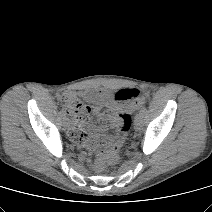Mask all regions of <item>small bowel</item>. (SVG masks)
<instances>
[{"label":"small bowel","mask_w":212,"mask_h":212,"mask_svg":"<svg viewBox=\"0 0 212 212\" xmlns=\"http://www.w3.org/2000/svg\"><path fill=\"white\" fill-rule=\"evenodd\" d=\"M67 96L74 95L68 94ZM78 96L90 103L91 107H88L89 110L86 115L74 118V125L69 132L70 136L81 145H86L93 150H100L105 141L102 133L107 130V124L116 120L122 107L113 101L105 91H82L78 93ZM91 113L96 115L104 124L96 126L90 123Z\"/></svg>","instance_id":"1"}]
</instances>
